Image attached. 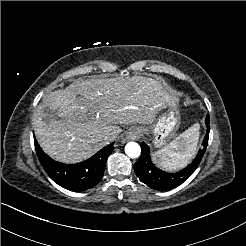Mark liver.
I'll list each match as a JSON object with an SVG mask.
<instances>
[{"instance_id": "6515ba94", "label": "liver", "mask_w": 246, "mask_h": 246, "mask_svg": "<svg viewBox=\"0 0 246 246\" xmlns=\"http://www.w3.org/2000/svg\"><path fill=\"white\" fill-rule=\"evenodd\" d=\"M167 101L162 86L151 79L77 81L49 100L46 106L55 113L52 119H45V109L37 112L35 135L55 160L80 162L113 141L108 135L121 132L117 125L151 124Z\"/></svg>"}]
</instances>
